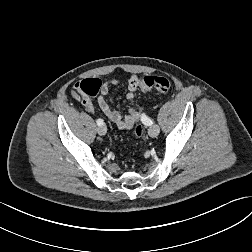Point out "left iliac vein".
<instances>
[{
	"mask_svg": "<svg viewBox=\"0 0 252 252\" xmlns=\"http://www.w3.org/2000/svg\"><path fill=\"white\" fill-rule=\"evenodd\" d=\"M160 132V129L157 125H152L149 130H148V134L151 137H156Z\"/></svg>",
	"mask_w": 252,
	"mask_h": 252,
	"instance_id": "left-iliac-vein-1",
	"label": "left iliac vein"
}]
</instances>
